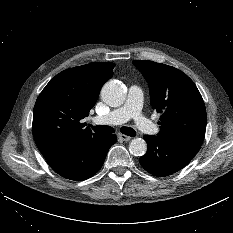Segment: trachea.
<instances>
[{"instance_id":"1","label":"trachea","mask_w":233,"mask_h":233,"mask_svg":"<svg viewBox=\"0 0 233 233\" xmlns=\"http://www.w3.org/2000/svg\"><path fill=\"white\" fill-rule=\"evenodd\" d=\"M96 133H100V134H110V133H114V129L110 126H92L89 125ZM121 133L128 135V136H136V132L133 128L131 127H121L120 129Z\"/></svg>"}]
</instances>
